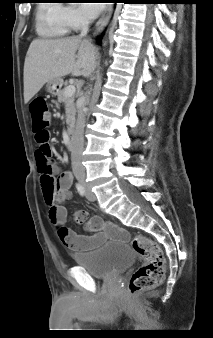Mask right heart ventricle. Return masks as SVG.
I'll list each match as a JSON object with an SVG mask.
<instances>
[{"label":"right heart ventricle","mask_w":213,"mask_h":338,"mask_svg":"<svg viewBox=\"0 0 213 338\" xmlns=\"http://www.w3.org/2000/svg\"><path fill=\"white\" fill-rule=\"evenodd\" d=\"M70 28L62 19V6L43 3L39 6L37 31L45 37H60L65 35Z\"/></svg>","instance_id":"e07e8e85"}]
</instances>
